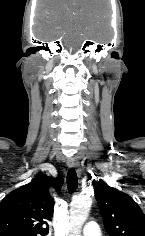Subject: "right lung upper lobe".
<instances>
[{
	"instance_id": "cb5924a9",
	"label": "right lung upper lobe",
	"mask_w": 145,
	"mask_h": 236,
	"mask_svg": "<svg viewBox=\"0 0 145 236\" xmlns=\"http://www.w3.org/2000/svg\"><path fill=\"white\" fill-rule=\"evenodd\" d=\"M62 178L39 175L30 183L10 192L0 203V236H45L54 210L49 187L57 191Z\"/></svg>"
}]
</instances>
